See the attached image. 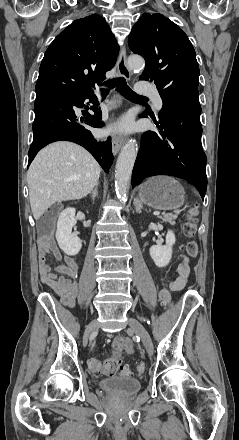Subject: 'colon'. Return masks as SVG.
I'll use <instances>...</instances> for the list:
<instances>
[{
    "mask_svg": "<svg viewBox=\"0 0 239 440\" xmlns=\"http://www.w3.org/2000/svg\"><path fill=\"white\" fill-rule=\"evenodd\" d=\"M197 216L198 210L196 207H191L187 212V217L183 225V232L185 236L192 238L197 232ZM50 230L45 228L42 231V244L49 243L48 233ZM186 250L189 256L195 257L198 253V245L196 241L191 240L186 246ZM160 300L165 307H169L172 304L171 295L167 288L163 287L159 293ZM114 354L106 360H99L92 358L88 361V367L91 372L102 375H113L116 373H128L129 370L122 365L119 354L122 352H129L131 350V342L124 336H118L113 342ZM145 371V364L143 361H138L136 365V372L143 374Z\"/></svg>",
    "mask_w": 239,
    "mask_h": 440,
    "instance_id": "colon-1",
    "label": "colon"
}]
</instances>
